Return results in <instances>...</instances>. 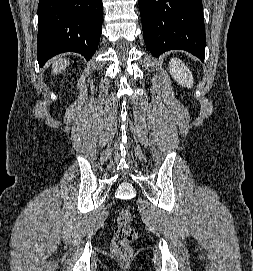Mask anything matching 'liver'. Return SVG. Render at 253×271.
<instances>
[{"mask_svg": "<svg viewBox=\"0 0 253 271\" xmlns=\"http://www.w3.org/2000/svg\"><path fill=\"white\" fill-rule=\"evenodd\" d=\"M67 63L69 64V61L67 62L66 59L62 58L55 60L53 62V73L54 74L61 73L66 68Z\"/></svg>", "mask_w": 253, "mask_h": 271, "instance_id": "liver-1", "label": "liver"}]
</instances>
